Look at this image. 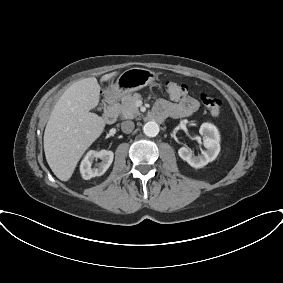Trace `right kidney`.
I'll use <instances>...</instances> for the list:
<instances>
[{"mask_svg":"<svg viewBox=\"0 0 283 283\" xmlns=\"http://www.w3.org/2000/svg\"><path fill=\"white\" fill-rule=\"evenodd\" d=\"M114 153L108 150L101 151H89L80 165V172L85 180L91 179L92 177L103 175L111 163L113 162ZM101 159L102 161L97 165L92 167V163L95 159Z\"/></svg>","mask_w":283,"mask_h":283,"instance_id":"obj_1","label":"right kidney"}]
</instances>
